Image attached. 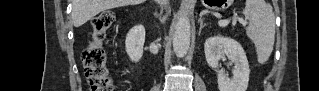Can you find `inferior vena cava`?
Here are the masks:
<instances>
[{"mask_svg": "<svg viewBox=\"0 0 319 91\" xmlns=\"http://www.w3.org/2000/svg\"><path fill=\"white\" fill-rule=\"evenodd\" d=\"M155 2H157L162 8L163 6H167L169 4V0H156Z\"/></svg>", "mask_w": 319, "mask_h": 91, "instance_id": "obj_1", "label": "inferior vena cava"}]
</instances>
